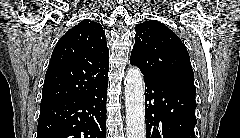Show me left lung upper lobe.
Wrapping results in <instances>:
<instances>
[{
  "instance_id": "obj_1",
  "label": "left lung upper lobe",
  "mask_w": 240,
  "mask_h": 138,
  "mask_svg": "<svg viewBox=\"0 0 240 138\" xmlns=\"http://www.w3.org/2000/svg\"><path fill=\"white\" fill-rule=\"evenodd\" d=\"M130 63L136 65L145 78L194 79L186 47L173 31L155 20L136 27Z\"/></svg>"
}]
</instances>
